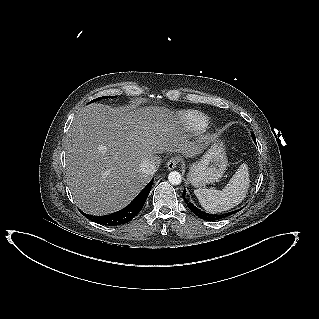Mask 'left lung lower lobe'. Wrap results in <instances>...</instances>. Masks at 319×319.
<instances>
[{"instance_id": "1", "label": "left lung lower lobe", "mask_w": 319, "mask_h": 319, "mask_svg": "<svg viewBox=\"0 0 319 319\" xmlns=\"http://www.w3.org/2000/svg\"><path fill=\"white\" fill-rule=\"evenodd\" d=\"M256 142V140H254ZM185 194H186V190L184 189L183 191V199L185 200ZM185 202L187 203L188 208L199 218L204 219V220H218V219H222L225 218L233 213H236L237 211L234 212H230V213H226V214H221V215H213V214H208L205 213L201 210H199L198 208H196L192 203L187 202L185 200Z\"/></svg>"}]
</instances>
